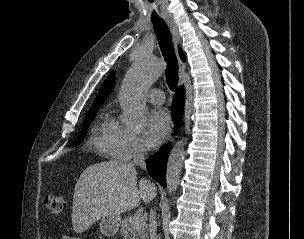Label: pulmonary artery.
Masks as SVG:
<instances>
[{
  "mask_svg": "<svg viewBox=\"0 0 304 239\" xmlns=\"http://www.w3.org/2000/svg\"><path fill=\"white\" fill-rule=\"evenodd\" d=\"M147 98L149 102L155 105H161L165 102L164 92L160 89H152L148 92Z\"/></svg>",
  "mask_w": 304,
  "mask_h": 239,
  "instance_id": "pulmonary-artery-1",
  "label": "pulmonary artery"
}]
</instances>
